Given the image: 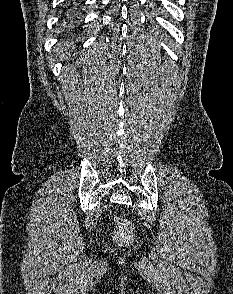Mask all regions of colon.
<instances>
[{"mask_svg": "<svg viewBox=\"0 0 233 294\" xmlns=\"http://www.w3.org/2000/svg\"><path fill=\"white\" fill-rule=\"evenodd\" d=\"M115 231H114V239L117 244L124 246L129 244L134 235V229L132 224L122 218H115Z\"/></svg>", "mask_w": 233, "mask_h": 294, "instance_id": "1", "label": "colon"}]
</instances>
